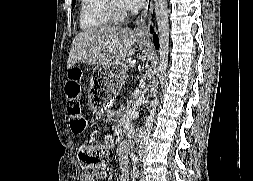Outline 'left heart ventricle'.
Segmentation results:
<instances>
[{"label": "left heart ventricle", "mask_w": 253, "mask_h": 181, "mask_svg": "<svg viewBox=\"0 0 253 181\" xmlns=\"http://www.w3.org/2000/svg\"><path fill=\"white\" fill-rule=\"evenodd\" d=\"M116 1H117V4H118L120 7L124 8L122 0H116Z\"/></svg>", "instance_id": "obj_1"}]
</instances>
